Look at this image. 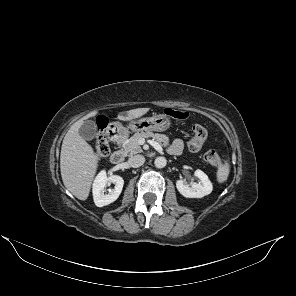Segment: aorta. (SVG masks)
<instances>
[{
	"label": "aorta",
	"instance_id": "762f6f07",
	"mask_svg": "<svg viewBox=\"0 0 296 296\" xmlns=\"http://www.w3.org/2000/svg\"><path fill=\"white\" fill-rule=\"evenodd\" d=\"M167 160L165 157H157L154 161V164L157 168H163L166 166Z\"/></svg>",
	"mask_w": 296,
	"mask_h": 296
}]
</instances>
